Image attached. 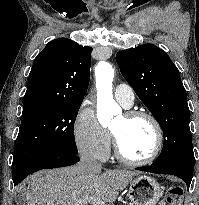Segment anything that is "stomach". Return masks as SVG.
<instances>
[{
  "label": "stomach",
  "instance_id": "stomach-1",
  "mask_svg": "<svg viewBox=\"0 0 199 205\" xmlns=\"http://www.w3.org/2000/svg\"><path fill=\"white\" fill-rule=\"evenodd\" d=\"M163 193L164 187L154 178L139 175L130 181L128 197L132 205H156Z\"/></svg>",
  "mask_w": 199,
  "mask_h": 205
}]
</instances>
